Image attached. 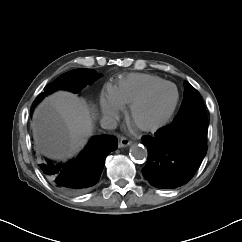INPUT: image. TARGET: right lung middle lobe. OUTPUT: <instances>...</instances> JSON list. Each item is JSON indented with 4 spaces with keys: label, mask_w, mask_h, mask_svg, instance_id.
Listing matches in <instances>:
<instances>
[{
    "label": "right lung middle lobe",
    "mask_w": 242,
    "mask_h": 242,
    "mask_svg": "<svg viewBox=\"0 0 242 242\" xmlns=\"http://www.w3.org/2000/svg\"><path fill=\"white\" fill-rule=\"evenodd\" d=\"M100 77L101 74L95 73V71L90 69H76L69 71L48 84L45 87L44 92L40 93L33 102V106L38 104L45 96L56 90H68L73 93H79L84 87L92 84Z\"/></svg>",
    "instance_id": "right-lung-middle-lobe-1"
}]
</instances>
